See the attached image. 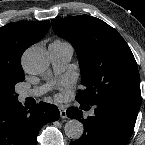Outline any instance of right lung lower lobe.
Listing matches in <instances>:
<instances>
[{"label": "right lung lower lobe", "mask_w": 145, "mask_h": 145, "mask_svg": "<svg viewBox=\"0 0 145 145\" xmlns=\"http://www.w3.org/2000/svg\"><path fill=\"white\" fill-rule=\"evenodd\" d=\"M53 104L40 102L24 108L18 100L0 102V145H37V136L47 122L58 120Z\"/></svg>", "instance_id": "obj_1"}]
</instances>
